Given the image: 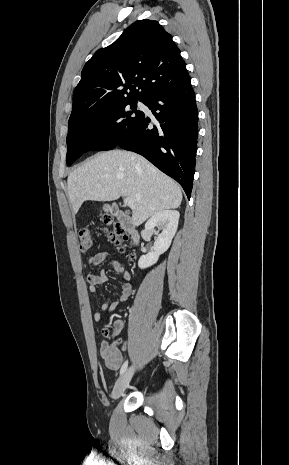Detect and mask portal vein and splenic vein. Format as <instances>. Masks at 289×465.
<instances>
[{"mask_svg": "<svg viewBox=\"0 0 289 465\" xmlns=\"http://www.w3.org/2000/svg\"><path fill=\"white\" fill-rule=\"evenodd\" d=\"M124 203L126 206L133 208L134 207V200L130 197L125 198Z\"/></svg>", "mask_w": 289, "mask_h": 465, "instance_id": "portal-vein-and-splenic-vein-1", "label": "portal vein and splenic vein"}]
</instances>
